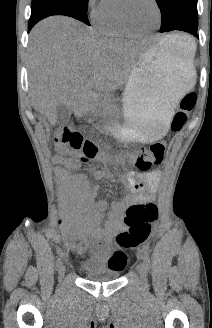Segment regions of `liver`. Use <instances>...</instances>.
<instances>
[{"mask_svg": "<svg viewBox=\"0 0 212 328\" xmlns=\"http://www.w3.org/2000/svg\"><path fill=\"white\" fill-rule=\"evenodd\" d=\"M28 52L33 107L53 125L59 104L71 108L90 90L112 92L123 87L142 54L132 41L104 37L65 16L35 25Z\"/></svg>", "mask_w": 212, "mask_h": 328, "instance_id": "1", "label": "liver"}]
</instances>
